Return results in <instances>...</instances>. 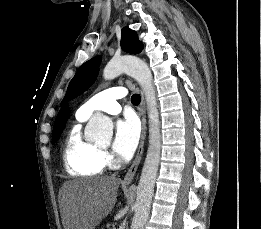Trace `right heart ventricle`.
<instances>
[{
    "mask_svg": "<svg viewBox=\"0 0 261 229\" xmlns=\"http://www.w3.org/2000/svg\"><path fill=\"white\" fill-rule=\"evenodd\" d=\"M81 108L76 112L78 124L67 134L63 144V161L67 171L73 175H97L103 171L102 148L83 136L80 123L87 118Z\"/></svg>",
    "mask_w": 261,
    "mask_h": 229,
    "instance_id": "1",
    "label": "right heart ventricle"
}]
</instances>
